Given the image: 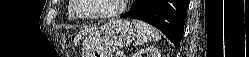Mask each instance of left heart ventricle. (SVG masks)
Listing matches in <instances>:
<instances>
[{
    "label": "left heart ventricle",
    "mask_w": 249,
    "mask_h": 57,
    "mask_svg": "<svg viewBox=\"0 0 249 57\" xmlns=\"http://www.w3.org/2000/svg\"><path fill=\"white\" fill-rule=\"evenodd\" d=\"M82 13L87 15L108 13L116 10L121 0H83Z\"/></svg>",
    "instance_id": "b2bd125f"
}]
</instances>
